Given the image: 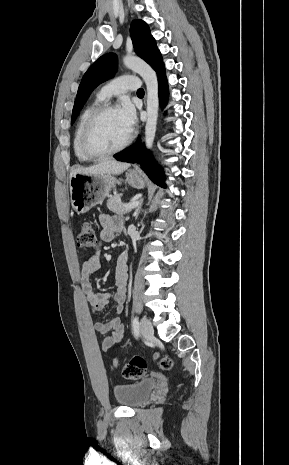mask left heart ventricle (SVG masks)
<instances>
[{"instance_id": "left-heart-ventricle-1", "label": "left heart ventricle", "mask_w": 289, "mask_h": 465, "mask_svg": "<svg viewBox=\"0 0 289 465\" xmlns=\"http://www.w3.org/2000/svg\"><path fill=\"white\" fill-rule=\"evenodd\" d=\"M117 110L104 114L97 123L94 144L100 150H107L121 145L127 138Z\"/></svg>"}]
</instances>
